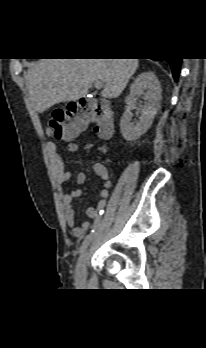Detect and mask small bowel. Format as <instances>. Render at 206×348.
<instances>
[{
	"label": "small bowel",
	"instance_id": "c3829d8e",
	"mask_svg": "<svg viewBox=\"0 0 206 348\" xmlns=\"http://www.w3.org/2000/svg\"><path fill=\"white\" fill-rule=\"evenodd\" d=\"M79 149L80 146L77 143H69L67 146V150L72 153L79 151ZM48 155L53 168L55 180L57 184L61 188H63L64 184L70 179L71 172L65 169L61 154L56 145L51 144L48 147ZM93 169L95 173L101 178L103 182V188L100 191L101 200L99 201L98 206L89 207L86 211V214L89 218L97 220L101 216L100 212L103 211L107 205L111 181L109 171L104 164L95 163ZM86 179V174L82 172L78 173L76 176V181L78 184H84L86 182ZM81 194L82 191L80 189L62 193L64 219L68 228L76 237L82 236L85 233V231L88 230L90 227V223L88 221H83L79 225L75 222V210L73 207V200L79 197Z\"/></svg>",
	"mask_w": 206,
	"mask_h": 348
}]
</instances>
